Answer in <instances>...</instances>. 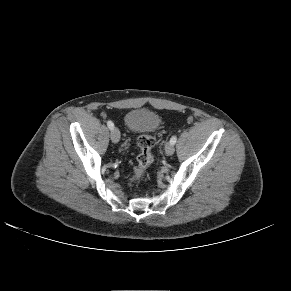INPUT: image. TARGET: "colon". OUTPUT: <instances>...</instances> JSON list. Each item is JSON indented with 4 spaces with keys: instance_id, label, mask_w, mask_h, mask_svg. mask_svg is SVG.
Returning <instances> with one entry per match:
<instances>
[{
    "instance_id": "colon-1",
    "label": "colon",
    "mask_w": 291,
    "mask_h": 291,
    "mask_svg": "<svg viewBox=\"0 0 291 291\" xmlns=\"http://www.w3.org/2000/svg\"><path fill=\"white\" fill-rule=\"evenodd\" d=\"M137 144L140 153L137 156V164L134 167L132 174L128 177L130 183L139 181L153 162L152 148L155 144L154 137L147 134L141 135L137 140Z\"/></svg>"
}]
</instances>
